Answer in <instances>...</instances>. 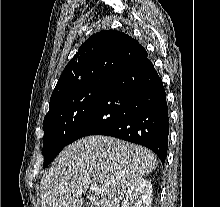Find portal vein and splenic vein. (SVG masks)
<instances>
[{"instance_id":"portal-vein-and-splenic-vein-1","label":"portal vein and splenic vein","mask_w":220,"mask_h":207,"mask_svg":"<svg viewBox=\"0 0 220 207\" xmlns=\"http://www.w3.org/2000/svg\"><path fill=\"white\" fill-rule=\"evenodd\" d=\"M90 192H92V193H99L100 189L92 186V187H90Z\"/></svg>"}]
</instances>
